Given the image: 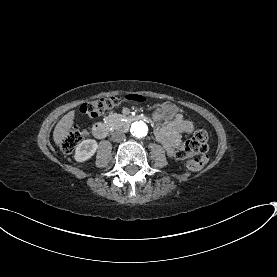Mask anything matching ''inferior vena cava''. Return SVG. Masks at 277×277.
I'll use <instances>...</instances> for the list:
<instances>
[{
    "instance_id": "inferior-vena-cava-1",
    "label": "inferior vena cava",
    "mask_w": 277,
    "mask_h": 277,
    "mask_svg": "<svg viewBox=\"0 0 277 277\" xmlns=\"http://www.w3.org/2000/svg\"><path fill=\"white\" fill-rule=\"evenodd\" d=\"M125 135L121 132H114L112 134V140H114L115 142H122L125 140Z\"/></svg>"
}]
</instances>
